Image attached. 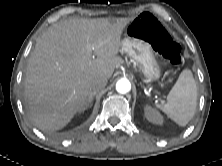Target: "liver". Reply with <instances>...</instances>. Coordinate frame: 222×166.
<instances>
[{"label": "liver", "instance_id": "6515ba94", "mask_svg": "<svg viewBox=\"0 0 222 166\" xmlns=\"http://www.w3.org/2000/svg\"><path fill=\"white\" fill-rule=\"evenodd\" d=\"M132 20L69 19L38 38L27 65L24 96L39 129L64 128L93 95V82L112 76L122 63V32Z\"/></svg>", "mask_w": 222, "mask_h": 166}]
</instances>
